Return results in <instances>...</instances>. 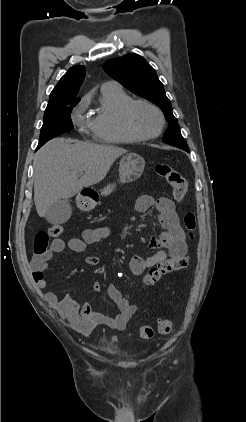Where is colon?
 Instances as JSON below:
<instances>
[{"instance_id":"1","label":"colon","mask_w":246,"mask_h":422,"mask_svg":"<svg viewBox=\"0 0 246 422\" xmlns=\"http://www.w3.org/2000/svg\"><path fill=\"white\" fill-rule=\"evenodd\" d=\"M156 174L163 178L170 186L174 197L178 200L182 199L188 189V183L185 177L168 164H157L155 166ZM184 226L192 239L196 229V217L193 212H187L183 218ZM63 233V226L53 224L46 231H39L34 237L33 249L35 255H44L48 250L49 237H57ZM188 265L186 257L168 259L149 269L144 277L146 285H153L163 276L184 269ZM39 271L33 272V277L38 278ZM173 330V322L169 319H159L157 321V331L160 334H169ZM139 336L142 339H151L154 336V329L150 326H141L139 328Z\"/></svg>"}]
</instances>
